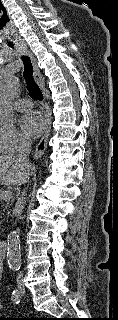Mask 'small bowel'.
Wrapping results in <instances>:
<instances>
[{
	"label": "small bowel",
	"instance_id": "c3829d8e",
	"mask_svg": "<svg viewBox=\"0 0 118 320\" xmlns=\"http://www.w3.org/2000/svg\"><path fill=\"white\" fill-rule=\"evenodd\" d=\"M0 280H1V264H0ZM2 308L1 302H0V310Z\"/></svg>",
	"mask_w": 118,
	"mask_h": 320
}]
</instances>
